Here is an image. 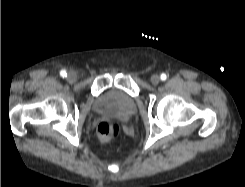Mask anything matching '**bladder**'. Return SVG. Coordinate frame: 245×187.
I'll return each instance as SVG.
<instances>
[{"label":"bladder","mask_w":245,"mask_h":187,"mask_svg":"<svg viewBox=\"0 0 245 187\" xmlns=\"http://www.w3.org/2000/svg\"><path fill=\"white\" fill-rule=\"evenodd\" d=\"M92 108L94 112L101 115H121L124 117H129L136 111L133 98L119 89L109 90L96 97Z\"/></svg>","instance_id":"31cf9c89"}]
</instances>
